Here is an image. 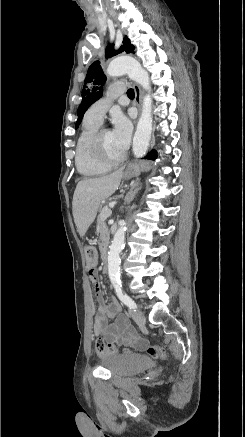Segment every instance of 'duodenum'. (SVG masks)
<instances>
[{"label": "duodenum", "instance_id": "410a0bca", "mask_svg": "<svg viewBox=\"0 0 245 437\" xmlns=\"http://www.w3.org/2000/svg\"><path fill=\"white\" fill-rule=\"evenodd\" d=\"M101 259L104 262V266H103V273H107L108 272V249L106 246L102 247L101 249Z\"/></svg>", "mask_w": 245, "mask_h": 437}]
</instances>
